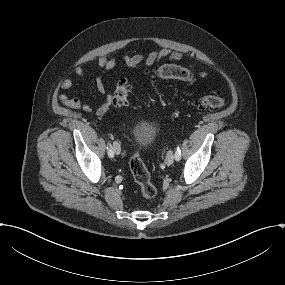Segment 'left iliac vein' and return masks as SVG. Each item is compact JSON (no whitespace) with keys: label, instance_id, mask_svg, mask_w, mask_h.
Masks as SVG:
<instances>
[{"label":"left iliac vein","instance_id":"4c4485c4","mask_svg":"<svg viewBox=\"0 0 285 285\" xmlns=\"http://www.w3.org/2000/svg\"><path fill=\"white\" fill-rule=\"evenodd\" d=\"M178 159H180V157H178ZM173 161H174V154H173V151L170 150L167 153L165 163L169 166L173 164Z\"/></svg>","mask_w":285,"mask_h":285}]
</instances>
